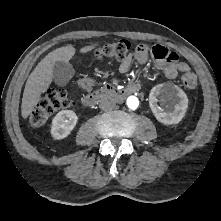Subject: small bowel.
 Listing matches in <instances>:
<instances>
[{"label":"small bowel","mask_w":221,"mask_h":221,"mask_svg":"<svg viewBox=\"0 0 221 221\" xmlns=\"http://www.w3.org/2000/svg\"><path fill=\"white\" fill-rule=\"evenodd\" d=\"M149 54L155 62L156 67L160 69L168 79H174L179 73L190 71V67L186 63L179 61L178 55L172 50H168L163 45H156L150 51L145 44H139L133 54H129L123 59L118 66V70L121 73L128 72L133 59L139 64H145L149 58Z\"/></svg>","instance_id":"c3829d8e"}]
</instances>
